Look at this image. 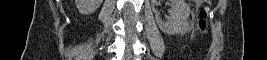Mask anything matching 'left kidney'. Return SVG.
I'll return each mask as SVG.
<instances>
[{
    "label": "left kidney",
    "instance_id": "1",
    "mask_svg": "<svg viewBox=\"0 0 267 60\" xmlns=\"http://www.w3.org/2000/svg\"><path fill=\"white\" fill-rule=\"evenodd\" d=\"M169 15L167 20H162L158 14L155 16L160 30L167 34L179 33L187 24L190 6L185 0H171Z\"/></svg>",
    "mask_w": 267,
    "mask_h": 60
}]
</instances>
